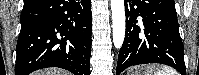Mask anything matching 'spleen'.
<instances>
[{"instance_id": "3e777b00", "label": "spleen", "mask_w": 199, "mask_h": 75, "mask_svg": "<svg viewBox=\"0 0 199 75\" xmlns=\"http://www.w3.org/2000/svg\"><path fill=\"white\" fill-rule=\"evenodd\" d=\"M142 75H178V73L168 66H150L147 67V69L142 73Z\"/></svg>"}]
</instances>
